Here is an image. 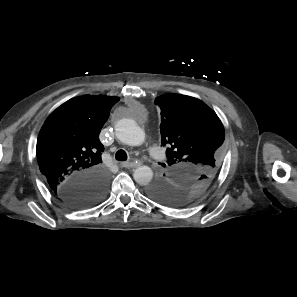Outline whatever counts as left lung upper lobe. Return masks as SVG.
Returning a JSON list of instances; mask_svg holds the SVG:
<instances>
[{"mask_svg": "<svg viewBox=\"0 0 297 297\" xmlns=\"http://www.w3.org/2000/svg\"><path fill=\"white\" fill-rule=\"evenodd\" d=\"M155 104L161 109V143L168 147V168L147 193L165 204L184 206L216 179L223 159L224 127L216 113L199 99L164 94L155 99Z\"/></svg>", "mask_w": 297, "mask_h": 297, "instance_id": "1", "label": "left lung upper lobe"}]
</instances>
